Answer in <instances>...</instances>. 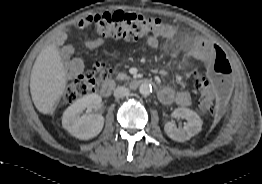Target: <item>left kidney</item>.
I'll return each mask as SVG.
<instances>
[{
    "label": "left kidney",
    "instance_id": "obj_1",
    "mask_svg": "<svg viewBox=\"0 0 262 184\" xmlns=\"http://www.w3.org/2000/svg\"><path fill=\"white\" fill-rule=\"evenodd\" d=\"M172 116L175 118H184L187 120V125L181 129L177 128L172 121H169L165 124V133L175 141L184 142L189 140L202 129V119L196 112L188 108H177L173 111Z\"/></svg>",
    "mask_w": 262,
    "mask_h": 184
}]
</instances>
